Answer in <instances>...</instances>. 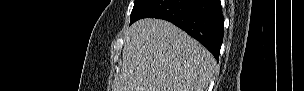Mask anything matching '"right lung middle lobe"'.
<instances>
[{"label":"right lung middle lobe","mask_w":304,"mask_h":91,"mask_svg":"<svg viewBox=\"0 0 304 91\" xmlns=\"http://www.w3.org/2000/svg\"><path fill=\"white\" fill-rule=\"evenodd\" d=\"M150 2V0H135L134 7L131 12L130 24L138 17L141 10Z\"/></svg>","instance_id":"dd1d6c3e"}]
</instances>
